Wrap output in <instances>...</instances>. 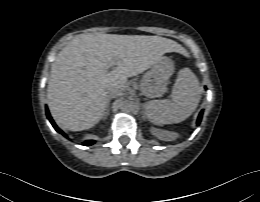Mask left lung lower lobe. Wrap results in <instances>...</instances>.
<instances>
[{"label":"left lung lower lobe","mask_w":260,"mask_h":202,"mask_svg":"<svg viewBox=\"0 0 260 202\" xmlns=\"http://www.w3.org/2000/svg\"><path fill=\"white\" fill-rule=\"evenodd\" d=\"M202 114H203V111H201L200 114H199V116H198L197 124L200 123L201 118H202Z\"/></svg>","instance_id":"0a47b994"}]
</instances>
